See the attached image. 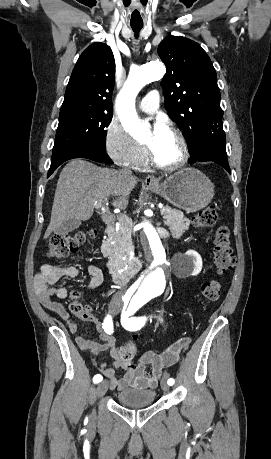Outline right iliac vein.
Wrapping results in <instances>:
<instances>
[{
  "label": "right iliac vein",
  "instance_id": "right-iliac-vein-1",
  "mask_svg": "<svg viewBox=\"0 0 271 459\" xmlns=\"http://www.w3.org/2000/svg\"><path fill=\"white\" fill-rule=\"evenodd\" d=\"M120 309L118 307H116L113 312L116 313L118 312ZM107 389H108V381H102L101 383H99L97 385V388H96V396L99 398L101 397L102 395H104L106 392H107ZM93 416H95V413H93Z\"/></svg>",
  "mask_w": 271,
  "mask_h": 459
}]
</instances>
